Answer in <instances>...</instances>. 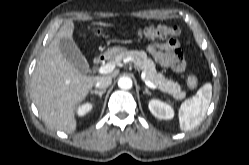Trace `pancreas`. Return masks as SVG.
I'll return each mask as SVG.
<instances>
[{"instance_id":"pancreas-1","label":"pancreas","mask_w":249,"mask_h":165,"mask_svg":"<svg viewBox=\"0 0 249 165\" xmlns=\"http://www.w3.org/2000/svg\"><path fill=\"white\" fill-rule=\"evenodd\" d=\"M126 58H131L130 61L145 72V78L157 85L160 90L171 94L176 100L185 98L186 93L181 90L180 85L177 82L165 78L162 73H158L155 63L147 57L144 51H122L114 56L112 60L118 64Z\"/></svg>"}]
</instances>
